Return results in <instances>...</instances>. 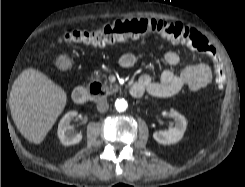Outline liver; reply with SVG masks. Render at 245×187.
<instances>
[{
  "instance_id": "1",
  "label": "liver",
  "mask_w": 245,
  "mask_h": 187,
  "mask_svg": "<svg viewBox=\"0 0 245 187\" xmlns=\"http://www.w3.org/2000/svg\"><path fill=\"white\" fill-rule=\"evenodd\" d=\"M67 103L65 91L43 73L28 68L14 81L9 105L19 132L40 144Z\"/></svg>"
}]
</instances>
